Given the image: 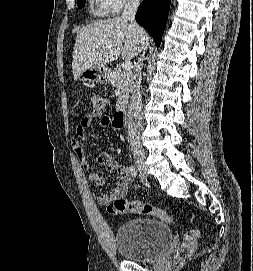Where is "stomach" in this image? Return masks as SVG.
<instances>
[{"label":"stomach","instance_id":"1","mask_svg":"<svg viewBox=\"0 0 253 271\" xmlns=\"http://www.w3.org/2000/svg\"><path fill=\"white\" fill-rule=\"evenodd\" d=\"M84 81L107 84L110 81V70L105 66L88 68L81 73Z\"/></svg>","mask_w":253,"mask_h":271}]
</instances>
